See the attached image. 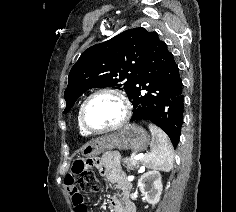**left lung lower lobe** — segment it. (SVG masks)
Returning a JSON list of instances; mask_svg holds the SVG:
<instances>
[{"label":"left lung lower lobe","mask_w":236,"mask_h":212,"mask_svg":"<svg viewBox=\"0 0 236 212\" xmlns=\"http://www.w3.org/2000/svg\"><path fill=\"white\" fill-rule=\"evenodd\" d=\"M146 92L142 94V91ZM183 84L178 65L165 42L152 32L129 96L134 106L131 121L149 120L178 145L184 111Z\"/></svg>","instance_id":"obj_1"}]
</instances>
